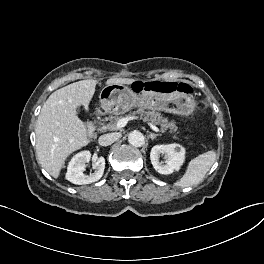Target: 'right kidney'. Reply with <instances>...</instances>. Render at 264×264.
Segmentation results:
<instances>
[{
  "instance_id": "obj_1",
  "label": "right kidney",
  "mask_w": 264,
  "mask_h": 264,
  "mask_svg": "<svg viewBox=\"0 0 264 264\" xmlns=\"http://www.w3.org/2000/svg\"><path fill=\"white\" fill-rule=\"evenodd\" d=\"M91 159V153L89 151H81L77 153L68 164L66 179L73 184L83 185L90 184L98 181L104 173L105 159L99 157L94 165L95 171L92 174L85 175L86 163Z\"/></svg>"
}]
</instances>
